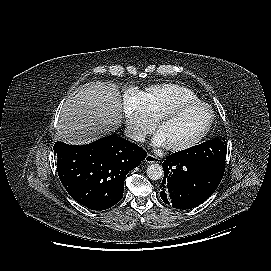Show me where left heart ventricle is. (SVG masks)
Segmentation results:
<instances>
[{"mask_svg":"<svg viewBox=\"0 0 271 271\" xmlns=\"http://www.w3.org/2000/svg\"><path fill=\"white\" fill-rule=\"evenodd\" d=\"M208 120V109L196 106L163 121L158 132L163 136L166 146L179 145L195 137Z\"/></svg>","mask_w":271,"mask_h":271,"instance_id":"obj_1","label":"left heart ventricle"}]
</instances>
